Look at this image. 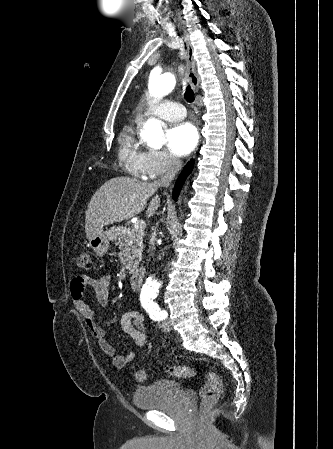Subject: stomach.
Segmentation results:
<instances>
[{
  "label": "stomach",
  "instance_id": "stomach-1",
  "mask_svg": "<svg viewBox=\"0 0 333 449\" xmlns=\"http://www.w3.org/2000/svg\"><path fill=\"white\" fill-rule=\"evenodd\" d=\"M91 248L98 254L99 256H103L109 248V240L106 236V232L104 230H100L95 236H93L90 240Z\"/></svg>",
  "mask_w": 333,
  "mask_h": 449
}]
</instances>
